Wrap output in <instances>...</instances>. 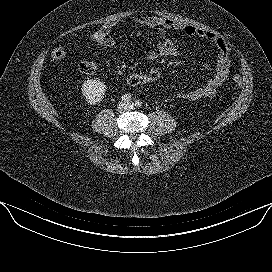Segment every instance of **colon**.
<instances>
[{
	"label": "colon",
	"instance_id": "colon-1",
	"mask_svg": "<svg viewBox=\"0 0 272 272\" xmlns=\"http://www.w3.org/2000/svg\"><path fill=\"white\" fill-rule=\"evenodd\" d=\"M85 41L89 45L111 48L115 45V39L112 33L103 29L93 31L85 36ZM67 55V50L63 46L54 48L51 56L54 60H62ZM78 70L82 75L91 76L98 70V65L93 61L81 62ZM163 77V71L159 68H151L138 73H133L126 78V84L132 87L152 84L159 81ZM236 85L242 84V78L239 75L233 77Z\"/></svg>",
	"mask_w": 272,
	"mask_h": 272
}]
</instances>
